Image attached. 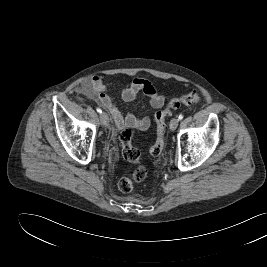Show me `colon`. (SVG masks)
Returning <instances> with one entry per match:
<instances>
[{
  "instance_id": "colon-1",
  "label": "colon",
  "mask_w": 267,
  "mask_h": 267,
  "mask_svg": "<svg viewBox=\"0 0 267 267\" xmlns=\"http://www.w3.org/2000/svg\"><path fill=\"white\" fill-rule=\"evenodd\" d=\"M200 101L197 93L191 92L180 97L172 99L166 108L155 114L156 122V141L150 146L149 153L152 156H158L163 150L165 142L166 120L173 110L181 106L196 105ZM134 132L130 128H125L119 135L123 158L131 164L118 181L119 190L128 193L131 192L135 185L144 181L147 177V168L141 162L139 151L132 145Z\"/></svg>"
}]
</instances>
